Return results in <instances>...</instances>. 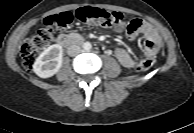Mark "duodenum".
Wrapping results in <instances>:
<instances>
[{"instance_id":"obj_1","label":"duodenum","mask_w":194,"mask_h":133,"mask_svg":"<svg viewBox=\"0 0 194 133\" xmlns=\"http://www.w3.org/2000/svg\"><path fill=\"white\" fill-rule=\"evenodd\" d=\"M55 42L62 47H71L81 44L83 39L76 35H59L56 37Z\"/></svg>"}]
</instances>
